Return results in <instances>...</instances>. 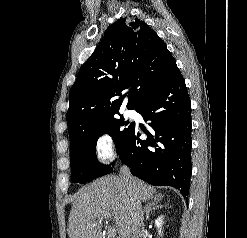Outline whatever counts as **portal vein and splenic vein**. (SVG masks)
<instances>
[{
  "instance_id": "obj_1",
  "label": "portal vein and splenic vein",
  "mask_w": 247,
  "mask_h": 238,
  "mask_svg": "<svg viewBox=\"0 0 247 238\" xmlns=\"http://www.w3.org/2000/svg\"><path fill=\"white\" fill-rule=\"evenodd\" d=\"M111 215H108V217H110ZM96 224H94V226H95ZM108 235H109V237L110 238H113V237H115V235H116V229L115 228H109L108 229Z\"/></svg>"
}]
</instances>
